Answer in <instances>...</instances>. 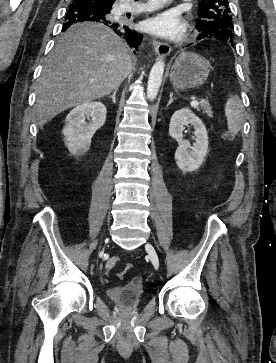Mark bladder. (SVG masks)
<instances>
[{
	"instance_id": "31cf9c89",
	"label": "bladder",
	"mask_w": 276,
	"mask_h": 363,
	"mask_svg": "<svg viewBox=\"0 0 276 363\" xmlns=\"http://www.w3.org/2000/svg\"><path fill=\"white\" fill-rule=\"evenodd\" d=\"M107 296L124 308H134L142 303L143 287L134 283L110 287L106 290Z\"/></svg>"
}]
</instances>
